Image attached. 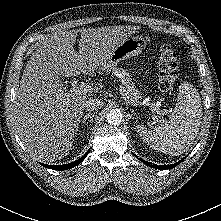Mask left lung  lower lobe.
Listing matches in <instances>:
<instances>
[{"label": "left lung lower lobe", "instance_id": "obj_1", "mask_svg": "<svg viewBox=\"0 0 221 221\" xmlns=\"http://www.w3.org/2000/svg\"><path fill=\"white\" fill-rule=\"evenodd\" d=\"M135 157H137L136 155H134ZM184 160V158L182 159ZM182 160H180L179 162L175 163V164H171V165H156V164H152L150 162H147V161H144V160H141L143 163H145L146 165L148 166H151L153 168H156V169H170V168H174L176 167L179 163L182 162Z\"/></svg>", "mask_w": 221, "mask_h": 221}]
</instances>
